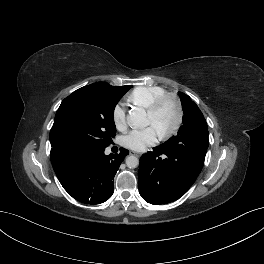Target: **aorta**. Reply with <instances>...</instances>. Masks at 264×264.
Masks as SVG:
<instances>
[{"label":"aorta","instance_id":"1","mask_svg":"<svg viewBox=\"0 0 264 264\" xmlns=\"http://www.w3.org/2000/svg\"><path fill=\"white\" fill-rule=\"evenodd\" d=\"M127 123L131 127L141 128L147 125L146 112L142 108H134L130 111L127 117ZM126 165L129 168H136L139 165V159L136 156H128L126 158Z\"/></svg>","mask_w":264,"mask_h":264}]
</instances>
